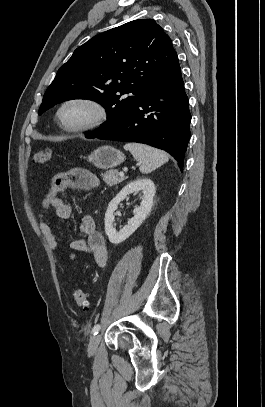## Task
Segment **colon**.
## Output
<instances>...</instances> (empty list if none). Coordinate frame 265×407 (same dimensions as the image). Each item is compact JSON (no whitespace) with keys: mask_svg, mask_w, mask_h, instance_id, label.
Instances as JSON below:
<instances>
[{"mask_svg":"<svg viewBox=\"0 0 265 407\" xmlns=\"http://www.w3.org/2000/svg\"><path fill=\"white\" fill-rule=\"evenodd\" d=\"M52 152L49 149H41L37 151L33 156V162L36 164H47L50 162ZM73 299L75 304L84 311H88L92 308V304L88 299V294L80 287H76L73 293Z\"/></svg>","mask_w":265,"mask_h":407,"instance_id":"obj_1","label":"colon"}]
</instances>
